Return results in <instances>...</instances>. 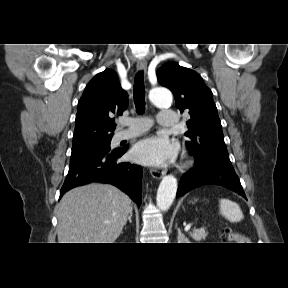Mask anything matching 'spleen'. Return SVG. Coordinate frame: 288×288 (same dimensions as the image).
<instances>
[{
    "label": "spleen",
    "instance_id": "spleen-1",
    "mask_svg": "<svg viewBox=\"0 0 288 288\" xmlns=\"http://www.w3.org/2000/svg\"><path fill=\"white\" fill-rule=\"evenodd\" d=\"M219 203L220 214L230 222H239L244 218L241 208L237 203L225 198L220 199Z\"/></svg>",
    "mask_w": 288,
    "mask_h": 288
}]
</instances>
